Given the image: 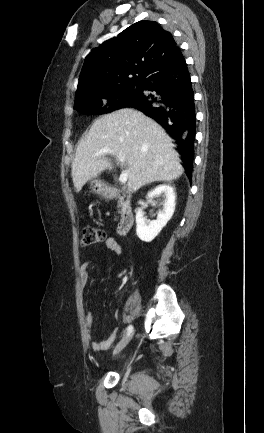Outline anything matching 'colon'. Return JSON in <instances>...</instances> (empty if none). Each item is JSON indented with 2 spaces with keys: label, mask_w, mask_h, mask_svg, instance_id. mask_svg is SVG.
I'll list each match as a JSON object with an SVG mask.
<instances>
[{
  "label": "colon",
  "mask_w": 264,
  "mask_h": 433,
  "mask_svg": "<svg viewBox=\"0 0 264 433\" xmlns=\"http://www.w3.org/2000/svg\"><path fill=\"white\" fill-rule=\"evenodd\" d=\"M105 233L96 227H86L82 232L81 243L84 247L101 243L105 240Z\"/></svg>",
  "instance_id": "colon-1"
}]
</instances>
